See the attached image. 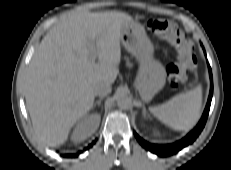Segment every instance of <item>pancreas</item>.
I'll list each match as a JSON object with an SVG mask.
<instances>
[{"label":"pancreas","instance_id":"obj_1","mask_svg":"<svg viewBox=\"0 0 231 170\" xmlns=\"http://www.w3.org/2000/svg\"><path fill=\"white\" fill-rule=\"evenodd\" d=\"M127 65L130 67V66H132V64L130 63V62H127Z\"/></svg>","mask_w":231,"mask_h":170}]
</instances>
